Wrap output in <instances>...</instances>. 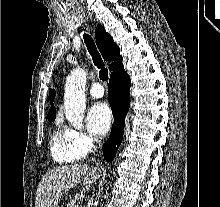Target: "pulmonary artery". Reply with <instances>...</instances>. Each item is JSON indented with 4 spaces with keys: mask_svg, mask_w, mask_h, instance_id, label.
Wrapping results in <instances>:
<instances>
[{
    "mask_svg": "<svg viewBox=\"0 0 220 207\" xmlns=\"http://www.w3.org/2000/svg\"><path fill=\"white\" fill-rule=\"evenodd\" d=\"M89 94L92 98H101L104 95V88L99 83H95L92 85Z\"/></svg>",
    "mask_w": 220,
    "mask_h": 207,
    "instance_id": "obj_1",
    "label": "pulmonary artery"
}]
</instances>
